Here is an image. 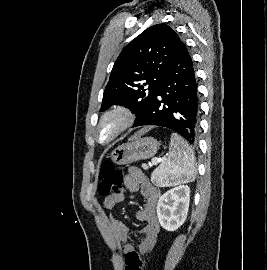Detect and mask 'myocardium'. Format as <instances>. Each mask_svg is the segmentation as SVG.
Segmentation results:
<instances>
[{
	"label": "myocardium",
	"instance_id": "1",
	"mask_svg": "<svg viewBox=\"0 0 267 270\" xmlns=\"http://www.w3.org/2000/svg\"><path fill=\"white\" fill-rule=\"evenodd\" d=\"M113 118H119L120 124L113 135L109 139L103 141L100 138V129L104 122ZM134 121L135 115L128 106L123 104L114 105L101 114L95 127V138L101 144H109L126 132L133 125Z\"/></svg>",
	"mask_w": 267,
	"mask_h": 270
}]
</instances>
